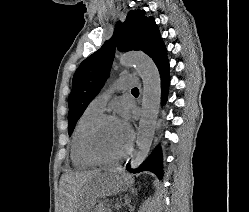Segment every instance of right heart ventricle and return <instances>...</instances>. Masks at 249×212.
<instances>
[{
	"instance_id": "obj_1",
	"label": "right heart ventricle",
	"mask_w": 249,
	"mask_h": 212,
	"mask_svg": "<svg viewBox=\"0 0 249 212\" xmlns=\"http://www.w3.org/2000/svg\"><path fill=\"white\" fill-rule=\"evenodd\" d=\"M101 115L102 111L88 105L74 126L69 141V158L72 166L76 169H86L93 165L82 153V139L88 126Z\"/></svg>"
}]
</instances>
